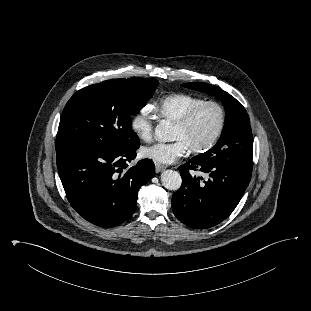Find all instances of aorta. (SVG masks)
Listing matches in <instances>:
<instances>
[{
    "instance_id": "1",
    "label": "aorta",
    "mask_w": 311,
    "mask_h": 311,
    "mask_svg": "<svg viewBox=\"0 0 311 311\" xmlns=\"http://www.w3.org/2000/svg\"><path fill=\"white\" fill-rule=\"evenodd\" d=\"M155 137L159 142L172 140V126L169 122L162 120L155 128ZM161 182L168 190H178L182 184V178L177 171L165 170L161 174Z\"/></svg>"
}]
</instances>
